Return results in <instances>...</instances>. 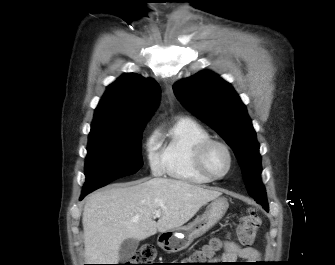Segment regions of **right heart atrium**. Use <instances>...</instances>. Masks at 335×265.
Wrapping results in <instances>:
<instances>
[{
	"instance_id": "obj_1",
	"label": "right heart atrium",
	"mask_w": 335,
	"mask_h": 265,
	"mask_svg": "<svg viewBox=\"0 0 335 265\" xmlns=\"http://www.w3.org/2000/svg\"><path fill=\"white\" fill-rule=\"evenodd\" d=\"M159 145V139L155 133L152 134L146 142L148 163L152 172L155 174H159L163 171V161L159 151Z\"/></svg>"
}]
</instances>
